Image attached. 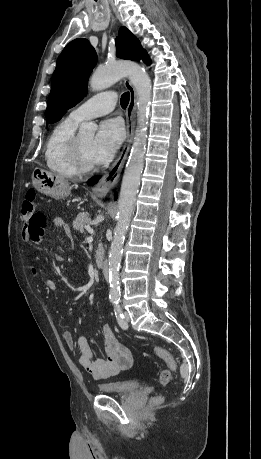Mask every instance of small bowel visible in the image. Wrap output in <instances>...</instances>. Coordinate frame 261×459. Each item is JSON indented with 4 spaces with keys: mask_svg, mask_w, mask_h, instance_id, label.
<instances>
[{
    "mask_svg": "<svg viewBox=\"0 0 261 459\" xmlns=\"http://www.w3.org/2000/svg\"><path fill=\"white\" fill-rule=\"evenodd\" d=\"M53 225L65 231L69 230L66 222L61 217H54ZM23 236L28 242L35 244L42 243L43 233L34 234L32 238H27L25 234H23ZM31 271L35 276H39L40 274L36 267H32ZM42 283L48 291L56 290V284L53 280L43 278ZM102 331L105 356L98 359L94 358L88 341L84 336H80L74 340L69 331L63 333V338L68 348L74 349L76 346L79 348L80 365L95 379H104L117 375L122 371L130 369L133 364V358L130 351L117 339L111 325L105 324Z\"/></svg>",
    "mask_w": 261,
    "mask_h": 459,
    "instance_id": "obj_1",
    "label": "small bowel"
}]
</instances>
